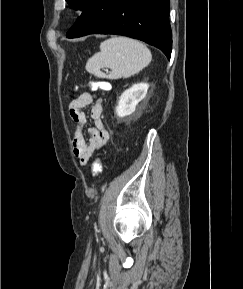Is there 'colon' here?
<instances>
[{"label":"colon","mask_w":243,"mask_h":289,"mask_svg":"<svg viewBox=\"0 0 243 289\" xmlns=\"http://www.w3.org/2000/svg\"><path fill=\"white\" fill-rule=\"evenodd\" d=\"M87 86L91 89H104V83L102 82H96V81H91L87 83ZM102 171V164L100 159H96L93 164H92V175L93 176H98Z\"/></svg>","instance_id":"1"}]
</instances>
